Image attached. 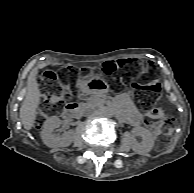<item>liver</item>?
<instances>
[{"label": "liver", "mask_w": 194, "mask_h": 193, "mask_svg": "<svg viewBox=\"0 0 194 193\" xmlns=\"http://www.w3.org/2000/svg\"><path fill=\"white\" fill-rule=\"evenodd\" d=\"M47 63L41 62L31 70L27 80V93L20 108L21 122L26 130H30L35 122L37 108L40 103L41 92L37 83L38 69L44 68Z\"/></svg>", "instance_id": "1"}]
</instances>
